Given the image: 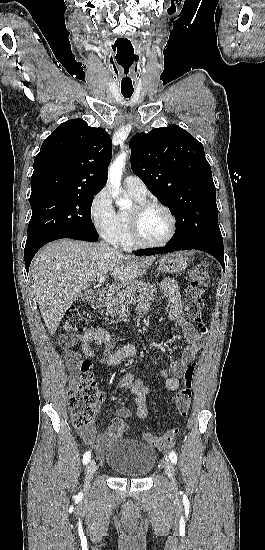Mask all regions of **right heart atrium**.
Listing matches in <instances>:
<instances>
[{
    "label": "right heart atrium",
    "mask_w": 265,
    "mask_h": 550,
    "mask_svg": "<svg viewBox=\"0 0 265 550\" xmlns=\"http://www.w3.org/2000/svg\"><path fill=\"white\" fill-rule=\"evenodd\" d=\"M89 215L96 232L105 240H112L117 232L118 219L109 191L104 188L92 198Z\"/></svg>",
    "instance_id": "1"
}]
</instances>
